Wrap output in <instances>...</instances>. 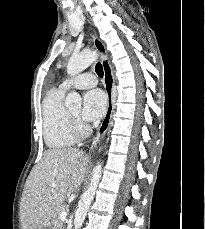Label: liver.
<instances>
[{
  "label": "liver",
  "instance_id": "obj_1",
  "mask_svg": "<svg viewBox=\"0 0 205 229\" xmlns=\"http://www.w3.org/2000/svg\"><path fill=\"white\" fill-rule=\"evenodd\" d=\"M89 159L77 148L45 150L32 168L22 194V229H42L66 197L85 179Z\"/></svg>",
  "mask_w": 205,
  "mask_h": 229
}]
</instances>
